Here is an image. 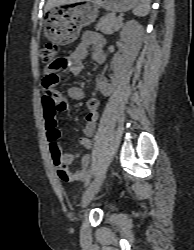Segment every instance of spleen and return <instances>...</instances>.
Masks as SVG:
<instances>
[{
    "instance_id": "obj_1",
    "label": "spleen",
    "mask_w": 194,
    "mask_h": 250,
    "mask_svg": "<svg viewBox=\"0 0 194 250\" xmlns=\"http://www.w3.org/2000/svg\"><path fill=\"white\" fill-rule=\"evenodd\" d=\"M151 0H140V3L133 9V13L136 16H146L150 11Z\"/></svg>"
}]
</instances>
